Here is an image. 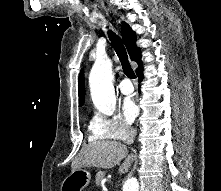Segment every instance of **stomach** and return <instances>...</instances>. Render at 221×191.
<instances>
[{
  "instance_id": "1",
  "label": "stomach",
  "mask_w": 221,
  "mask_h": 191,
  "mask_svg": "<svg viewBox=\"0 0 221 191\" xmlns=\"http://www.w3.org/2000/svg\"><path fill=\"white\" fill-rule=\"evenodd\" d=\"M91 180L90 172L86 169H76L67 176L60 186V191H82Z\"/></svg>"
}]
</instances>
